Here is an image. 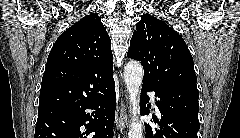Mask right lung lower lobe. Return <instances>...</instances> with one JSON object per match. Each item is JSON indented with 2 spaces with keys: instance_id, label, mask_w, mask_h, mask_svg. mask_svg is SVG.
Here are the masks:
<instances>
[{
  "instance_id": "obj_1",
  "label": "right lung lower lobe",
  "mask_w": 240,
  "mask_h": 138,
  "mask_svg": "<svg viewBox=\"0 0 240 138\" xmlns=\"http://www.w3.org/2000/svg\"><path fill=\"white\" fill-rule=\"evenodd\" d=\"M115 98L112 79L83 99L38 112L35 138H112ZM86 109L98 111L90 114Z\"/></svg>"
}]
</instances>
